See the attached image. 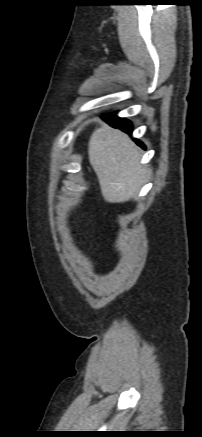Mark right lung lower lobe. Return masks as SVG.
I'll use <instances>...</instances> for the list:
<instances>
[{"instance_id": "right-lung-lower-lobe-1", "label": "right lung lower lobe", "mask_w": 202, "mask_h": 437, "mask_svg": "<svg viewBox=\"0 0 202 437\" xmlns=\"http://www.w3.org/2000/svg\"><path fill=\"white\" fill-rule=\"evenodd\" d=\"M103 118L112 127L121 129L122 131H124L126 133H132V125H131L130 121L123 119V118H119L116 114L105 115ZM138 143H139V145L143 146L142 143H140L139 141H138Z\"/></svg>"}]
</instances>
